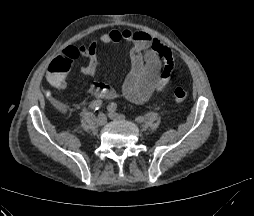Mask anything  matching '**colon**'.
Here are the masks:
<instances>
[{"label":"colon","mask_w":254,"mask_h":216,"mask_svg":"<svg viewBox=\"0 0 254 216\" xmlns=\"http://www.w3.org/2000/svg\"><path fill=\"white\" fill-rule=\"evenodd\" d=\"M70 64H64L60 58L55 59L51 62V64L48 67V74L51 79L57 80L63 73L67 72L69 69ZM187 97V92L182 87H177L174 90V100L177 103H182L185 101Z\"/></svg>","instance_id":"colon-1"}]
</instances>
